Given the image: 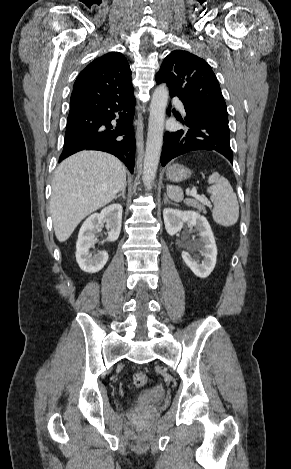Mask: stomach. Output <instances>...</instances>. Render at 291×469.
<instances>
[{
  "mask_svg": "<svg viewBox=\"0 0 291 469\" xmlns=\"http://www.w3.org/2000/svg\"><path fill=\"white\" fill-rule=\"evenodd\" d=\"M190 175V170L181 164H173L166 170L167 179L173 182H180L185 180L189 178Z\"/></svg>",
  "mask_w": 291,
  "mask_h": 469,
  "instance_id": "0dacf381",
  "label": "stomach"
}]
</instances>
